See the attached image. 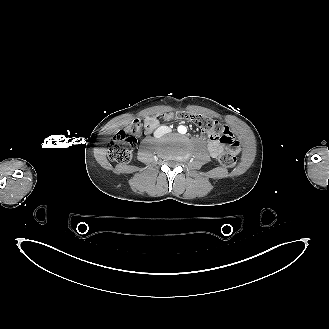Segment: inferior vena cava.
<instances>
[{
	"label": "inferior vena cava",
	"mask_w": 329,
	"mask_h": 329,
	"mask_svg": "<svg viewBox=\"0 0 329 329\" xmlns=\"http://www.w3.org/2000/svg\"><path fill=\"white\" fill-rule=\"evenodd\" d=\"M171 132V129L168 126H160L159 128H157L154 132V137L156 138H160L161 136H163L164 134H167Z\"/></svg>",
	"instance_id": "602c4592"
}]
</instances>
